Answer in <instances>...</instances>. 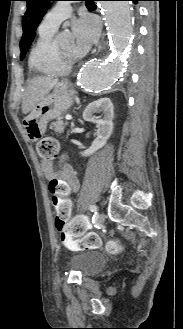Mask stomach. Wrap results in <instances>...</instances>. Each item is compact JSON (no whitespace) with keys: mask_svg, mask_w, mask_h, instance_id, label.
<instances>
[{"mask_svg":"<svg viewBox=\"0 0 183 329\" xmlns=\"http://www.w3.org/2000/svg\"><path fill=\"white\" fill-rule=\"evenodd\" d=\"M75 92L64 82L57 83L53 92L47 94L24 118L23 128L32 142L38 141L46 131L47 123L59 118L73 105Z\"/></svg>","mask_w":183,"mask_h":329,"instance_id":"stomach-1","label":"stomach"}]
</instances>
